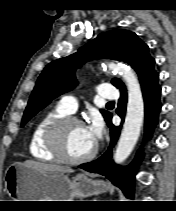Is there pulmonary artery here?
Returning a JSON list of instances; mask_svg holds the SVG:
<instances>
[{"instance_id": "e3ab8cb5", "label": "pulmonary artery", "mask_w": 176, "mask_h": 211, "mask_svg": "<svg viewBox=\"0 0 176 211\" xmlns=\"http://www.w3.org/2000/svg\"><path fill=\"white\" fill-rule=\"evenodd\" d=\"M98 96L103 99L115 100L118 98V91L111 84H101L98 88ZM59 106L68 113H73L77 108V99L68 95L62 97Z\"/></svg>"}]
</instances>
